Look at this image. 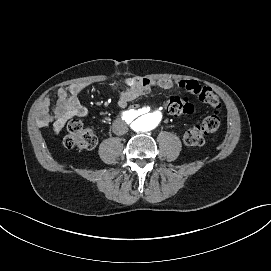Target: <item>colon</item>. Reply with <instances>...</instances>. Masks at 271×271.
Listing matches in <instances>:
<instances>
[{"label":"colon","mask_w":271,"mask_h":271,"mask_svg":"<svg viewBox=\"0 0 271 271\" xmlns=\"http://www.w3.org/2000/svg\"><path fill=\"white\" fill-rule=\"evenodd\" d=\"M201 102L209 105L212 112L207 115L199 125L189 128L184 133V142L189 146H201L205 142V137L215 132L220 126V113L222 104L218 96L209 88L201 87L198 92ZM164 109L173 115L193 112L192 103L179 96H171L163 103ZM68 133L64 138V145L67 148H78L81 150H91L97 144V138L93 131L77 120L69 122Z\"/></svg>","instance_id":"1"}]
</instances>
